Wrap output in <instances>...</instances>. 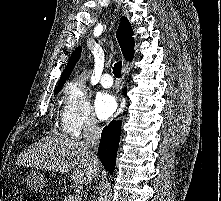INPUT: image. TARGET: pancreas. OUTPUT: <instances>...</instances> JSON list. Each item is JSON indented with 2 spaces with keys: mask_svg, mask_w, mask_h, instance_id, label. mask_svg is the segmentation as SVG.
<instances>
[{
  "mask_svg": "<svg viewBox=\"0 0 221 201\" xmlns=\"http://www.w3.org/2000/svg\"><path fill=\"white\" fill-rule=\"evenodd\" d=\"M69 197H70V195L69 196H65L63 201H68ZM76 201H81V199L80 200L77 199Z\"/></svg>",
  "mask_w": 221,
  "mask_h": 201,
  "instance_id": "obj_1",
  "label": "pancreas"
}]
</instances>
